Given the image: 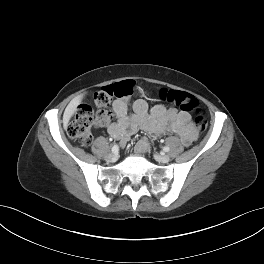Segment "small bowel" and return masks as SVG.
<instances>
[{
    "mask_svg": "<svg viewBox=\"0 0 264 264\" xmlns=\"http://www.w3.org/2000/svg\"><path fill=\"white\" fill-rule=\"evenodd\" d=\"M113 109L117 121L109 125L108 132L122 144L126 143L137 130H145L152 134L174 133L185 146L191 145L196 139V131L187 112H178L176 109L158 105L149 113L148 105L143 99L134 102L131 113L128 112L125 99L115 100ZM135 150L138 153H145L148 150L147 138H141Z\"/></svg>",
    "mask_w": 264,
    "mask_h": 264,
    "instance_id": "c3829d8e",
    "label": "small bowel"
}]
</instances>
